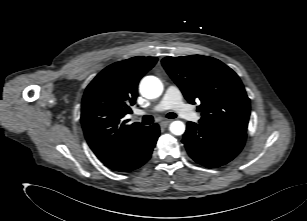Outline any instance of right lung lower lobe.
<instances>
[{"label":"right lung lower lobe","mask_w":307,"mask_h":221,"mask_svg":"<svg viewBox=\"0 0 307 221\" xmlns=\"http://www.w3.org/2000/svg\"><path fill=\"white\" fill-rule=\"evenodd\" d=\"M159 134L157 124L144 127L110 156L102 159L101 162L118 172L135 170L150 159Z\"/></svg>","instance_id":"98d812e1"}]
</instances>
